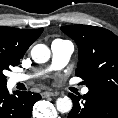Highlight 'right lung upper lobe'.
<instances>
[{
    "label": "right lung upper lobe",
    "instance_id": "cb5924a9",
    "mask_svg": "<svg viewBox=\"0 0 118 118\" xmlns=\"http://www.w3.org/2000/svg\"><path fill=\"white\" fill-rule=\"evenodd\" d=\"M42 31L43 28L26 30L0 26V49L20 60Z\"/></svg>",
    "mask_w": 118,
    "mask_h": 118
}]
</instances>
